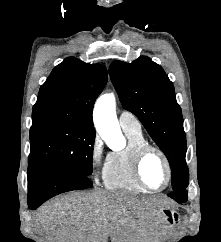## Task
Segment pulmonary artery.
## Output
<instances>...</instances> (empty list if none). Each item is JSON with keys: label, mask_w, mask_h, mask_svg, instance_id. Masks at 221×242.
<instances>
[{"label": "pulmonary artery", "mask_w": 221, "mask_h": 242, "mask_svg": "<svg viewBox=\"0 0 221 242\" xmlns=\"http://www.w3.org/2000/svg\"><path fill=\"white\" fill-rule=\"evenodd\" d=\"M119 124L123 129H130L133 131H141V125L136 117L128 112L122 111L119 115Z\"/></svg>", "instance_id": "1"}]
</instances>
